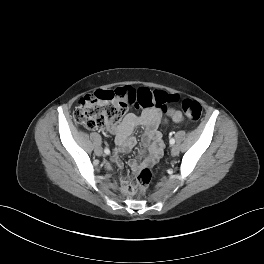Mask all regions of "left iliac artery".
Wrapping results in <instances>:
<instances>
[{
    "label": "left iliac artery",
    "mask_w": 264,
    "mask_h": 264,
    "mask_svg": "<svg viewBox=\"0 0 264 264\" xmlns=\"http://www.w3.org/2000/svg\"><path fill=\"white\" fill-rule=\"evenodd\" d=\"M169 142H170L171 145H173L175 143V139L171 138Z\"/></svg>",
    "instance_id": "1"
}]
</instances>
